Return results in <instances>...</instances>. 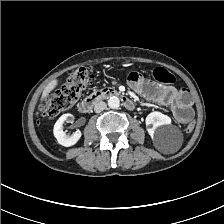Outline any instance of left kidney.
I'll list each match as a JSON object with an SVG mask.
<instances>
[{
  "mask_svg": "<svg viewBox=\"0 0 224 224\" xmlns=\"http://www.w3.org/2000/svg\"><path fill=\"white\" fill-rule=\"evenodd\" d=\"M145 123L152 139H156L160 143H166L168 141L167 135L163 133L160 127L171 124V118L169 116L158 111L151 112L146 117Z\"/></svg>",
  "mask_w": 224,
  "mask_h": 224,
  "instance_id": "5707ae66",
  "label": "left kidney"
}]
</instances>
